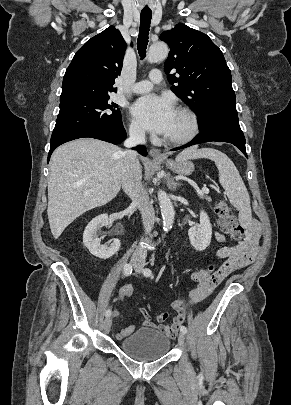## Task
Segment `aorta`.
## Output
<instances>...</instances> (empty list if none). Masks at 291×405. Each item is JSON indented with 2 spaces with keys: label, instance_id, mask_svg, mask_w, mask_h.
I'll list each match as a JSON object with an SVG mask.
<instances>
[{
  "label": "aorta",
  "instance_id": "aorta-1",
  "mask_svg": "<svg viewBox=\"0 0 291 405\" xmlns=\"http://www.w3.org/2000/svg\"><path fill=\"white\" fill-rule=\"evenodd\" d=\"M169 53V48L164 42H157L150 46L147 53V60L151 63L163 61L167 58ZM158 202L163 218V229L164 231H169L172 228L174 222V207L169 198V196L164 192H158Z\"/></svg>",
  "mask_w": 291,
  "mask_h": 405
}]
</instances>
